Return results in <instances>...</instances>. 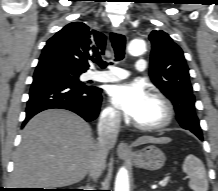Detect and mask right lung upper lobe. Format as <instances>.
Instances as JSON below:
<instances>
[{"mask_svg":"<svg viewBox=\"0 0 218 191\" xmlns=\"http://www.w3.org/2000/svg\"><path fill=\"white\" fill-rule=\"evenodd\" d=\"M106 37L82 22H72L51 37L41 56H54L69 65L86 71L88 61L104 53Z\"/></svg>","mask_w":218,"mask_h":191,"instance_id":"right-lung-upper-lobe-1","label":"right lung upper lobe"}]
</instances>
